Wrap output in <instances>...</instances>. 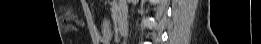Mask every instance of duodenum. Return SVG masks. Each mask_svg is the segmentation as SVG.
Returning a JSON list of instances; mask_svg holds the SVG:
<instances>
[{
    "label": "duodenum",
    "instance_id": "duodenum-1",
    "mask_svg": "<svg viewBox=\"0 0 261 44\" xmlns=\"http://www.w3.org/2000/svg\"><path fill=\"white\" fill-rule=\"evenodd\" d=\"M118 26H119L120 33L122 35H126L128 31L127 16H126V12L123 9H120L118 13Z\"/></svg>",
    "mask_w": 261,
    "mask_h": 44
}]
</instances>
